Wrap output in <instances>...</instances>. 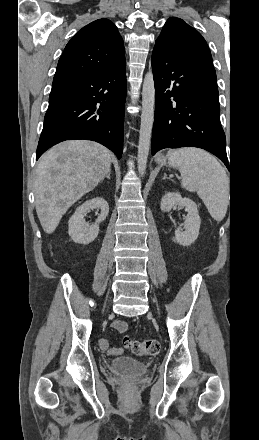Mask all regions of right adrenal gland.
<instances>
[{
	"label": "right adrenal gland",
	"mask_w": 259,
	"mask_h": 440,
	"mask_svg": "<svg viewBox=\"0 0 259 440\" xmlns=\"http://www.w3.org/2000/svg\"><path fill=\"white\" fill-rule=\"evenodd\" d=\"M110 174H111V171H109V172L106 174V176H105V177H106L107 179H109V180L111 179V178H110Z\"/></svg>",
	"instance_id": "2a0ac1e0"
}]
</instances>
